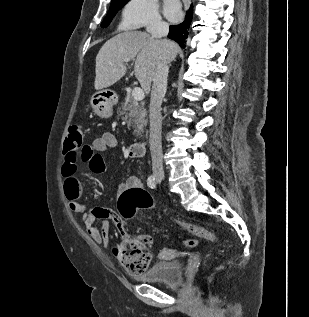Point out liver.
<instances>
[{
    "label": "liver",
    "instance_id": "6515ba94",
    "mask_svg": "<svg viewBox=\"0 0 309 317\" xmlns=\"http://www.w3.org/2000/svg\"><path fill=\"white\" fill-rule=\"evenodd\" d=\"M171 42V41H170ZM167 61H173L178 53L175 43ZM163 44L159 39L141 31L120 33L105 42L96 56L94 87L100 90L119 81L126 73L125 59H135L134 73L143 91L150 92L158 62L163 58Z\"/></svg>",
    "mask_w": 309,
    "mask_h": 317
}]
</instances>
